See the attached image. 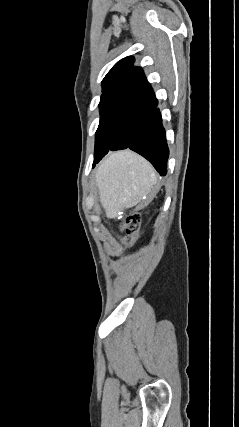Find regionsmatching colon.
<instances>
[{"mask_svg": "<svg viewBox=\"0 0 239 427\" xmlns=\"http://www.w3.org/2000/svg\"><path fill=\"white\" fill-rule=\"evenodd\" d=\"M142 218L140 214L130 215L122 225V231L129 237H135L141 227Z\"/></svg>", "mask_w": 239, "mask_h": 427, "instance_id": "1", "label": "colon"}]
</instances>
